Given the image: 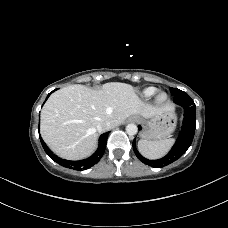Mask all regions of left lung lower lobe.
<instances>
[{
	"instance_id": "0a47b994",
	"label": "left lung lower lobe",
	"mask_w": 228,
	"mask_h": 228,
	"mask_svg": "<svg viewBox=\"0 0 228 228\" xmlns=\"http://www.w3.org/2000/svg\"><path fill=\"white\" fill-rule=\"evenodd\" d=\"M174 102L184 108V120L178 139L165 157L158 160H148L138 152L136 140L134 139L133 141L134 152L137 158L144 164L158 168L167 166L179 159L192 143L196 128V106L194 101L189 96H186L185 98H174ZM138 129L141 130V126H138Z\"/></svg>"
}]
</instances>
